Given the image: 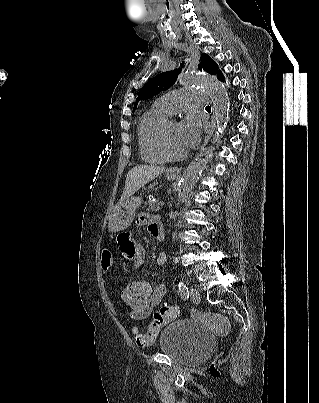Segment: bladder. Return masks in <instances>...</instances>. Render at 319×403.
I'll return each instance as SVG.
<instances>
[{"instance_id":"bladder-1","label":"bladder","mask_w":319,"mask_h":403,"mask_svg":"<svg viewBox=\"0 0 319 403\" xmlns=\"http://www.w3.org/2000/svg\"><path fill=\"white\" fill-rule=\"evenodd\" d=\"M213 344L211 334L192 320H176L159 334L160 351L181 365H194L205 359Z\"/></svg>"}]
</instances>
